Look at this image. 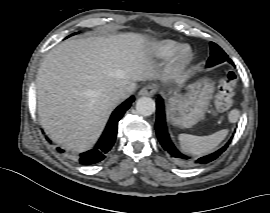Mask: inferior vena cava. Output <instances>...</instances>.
Segmentation results:
<instances>
[{"mask_svg":"<svg viewBox=\"0 0 270 213\" xmlns=\"http://www.w3.org/2000/svg\"><path fill=\"white\" fill-rule=\"evenodd\" d=\"M128 90L126 88H115L110 95L114 100H121L127 96Z\"/></svg>","mask_w":270,"mask_h":213,"instance_id":"inferior-vena-cava-1","label":"inferior vena cava"}]
</instances>
